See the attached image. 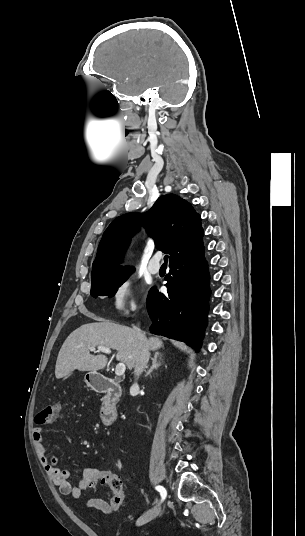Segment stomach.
Here are the masks:
<instances>
[{
	"label": "stomach",
	"instance_id": "stomach-1",
	"mask_svg": "<svg viewBox=\"0 0 305 536\" xmlns=\"http://www.w3.org/2000/svg\"><path fill=\"white\" fill-rule=\"evenodd\" d=\"M84 380L86 384H88V386H92V388H96V386H98V384L101 382L99 374H86Z\"/></svg>",
	"mask_w": 305,
	"mask_h": 536
}]
</instances>
